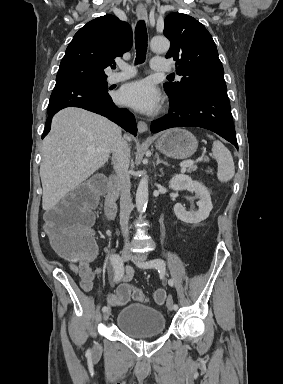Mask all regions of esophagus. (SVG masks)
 Returning a JSON list of instances; mask_svg holds the SVG:
<instances>
[{
  "mask_svg": "<svg viewBox=\"0 0 283 384\" xmlns=\"http://www.w3.org/2000/svg\"><path fill=\"white\" fill-rule=\"evenodd\" d=\"M136 13H137V17L139 18V20L147 21L148 15H147V10L145 7L138 6L136 9ZM137 127H138V132H140V133L146 132V130H148L147 124L145 122H143L142 120H140L138 122Z\"/></svg>",
  "mask_w": 283,
  "mask_h": 384,
  "instance_id": "obj_1",
  "label": "esophagus"
}]
</instances>
